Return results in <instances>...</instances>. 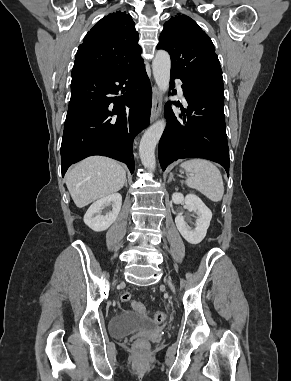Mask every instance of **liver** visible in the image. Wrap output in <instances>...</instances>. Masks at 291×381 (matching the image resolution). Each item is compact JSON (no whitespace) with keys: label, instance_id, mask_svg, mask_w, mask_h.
<instances>
[{"label":"liver","instance_id":"6515ba94","mask_svg":"<svg viewBox=\"0 0 291 381\" xmlns=\"http://www.w3.org/2000/svg\"><path fill=\"white\" fill-rule=\"evenodd\" d=\"M126 181L125 169L115 160L93 156L75 165L66 185L78 208L119 191Z\"/></svg>","mask_w":291,"mask_h":381}]
</instances>
